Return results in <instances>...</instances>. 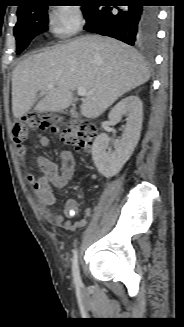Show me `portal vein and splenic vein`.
<instances>
[{
    "label": "portal vein and splenic vein",
    "mask_w": 184,
    "mask_h": 327,
    "mask_svg": "<svg viewBox=\"0 0 184 327\" xmlns=\"http://www.w3.org/2000/svg\"><path fill=\"white\" fill-rule=\"evenodd\" d=\"M52 89H54V86L53 85H48V86L45 87L44 90L45 91H50ZM77 94L79 96H86L88 94V91L85 88L80 87V88L77 89Z\"/></svg>",
    "instance_id": "1"
}]
</instances>
